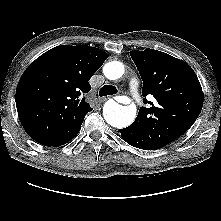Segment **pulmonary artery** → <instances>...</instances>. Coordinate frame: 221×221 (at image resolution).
<instances>
[{"instance_id":"e3ab8cb5","label":"pulmonary artery","mask_w":221,"mask_h":221,"mask_svg":"<svg viewBox=\"0 0 221 221\" xmlns=\"http://www.w3.org/2000/svg\"><path fill=\"white\" fill-rule=\"evenodd\" d=\"M129 86L134 92H136L138 89V81L136 79H131L129 82Z\"/></svg>"}]
</instances>
